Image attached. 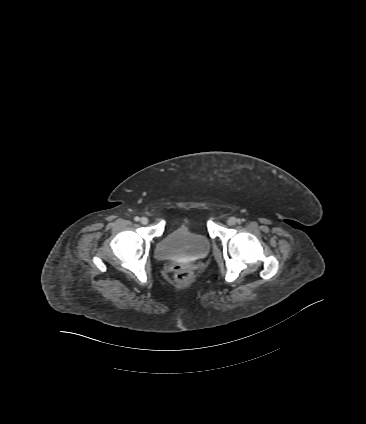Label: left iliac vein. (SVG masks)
<instances>
[{
  "label": "left iliac vein",
  "instance_id": "1",
  "mask_svg": "<svg viewBox=\"0 0 366 424\" xmlns=\"http://www.w3.org/2000/svg\"><path fill=\"white\" fill-rule=\"evenodd\" d=\"M237 223V219L235 218V217H230L228 220H227V224L228 225H230V226H233V225H235Z\"/></svg>",
  "mask_w": 366,
  "mask_h": 424
}]
</instances>
